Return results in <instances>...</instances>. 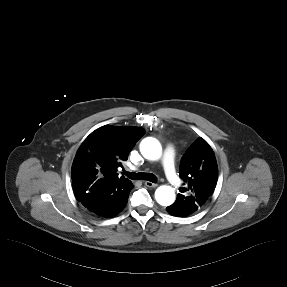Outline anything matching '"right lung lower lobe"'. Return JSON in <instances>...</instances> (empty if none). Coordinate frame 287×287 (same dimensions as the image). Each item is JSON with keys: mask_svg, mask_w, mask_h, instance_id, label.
<instances>
[{"mask_svg": "<svg viewBox=\"0 0 287 287\" xmlns=\"http://www.w3.org/2000/svg\"><path fill=\"white\" fill-rule=\"evenodd\" d=\"M132 188V182L94 183L89 187L86 197L81 203L93 214L110 218L124 209Z\"/></svg>", "mask_w": 287, "mask_h": 287, "instance_id": "obj_1", "label": "right lung lower lobe"}]
</instances>
